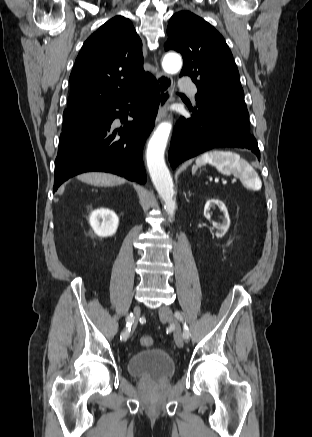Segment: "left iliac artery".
<instances>
[{
    "mask_svg": "<svg viewBox=\"0 0 312 437\" xmlns=\"http://www.w3.org/2000/svg\"><path fill=\"white\" fill-rule=\"evenodd\" d=\"M175 317H176L177 319H179L180 321H183V314H182L181 312L176 311V312H175ZM183 337H184L185 339H189V337H190V331H189V328H188V326L186 325V323H184V332H183Z\"/></svg>",
    "mask_w": 312,
    "mask_h": 437,
    "instance_id": "left-iliac-artery-1",
    "label": "left iliac artery"
}]
</instances>
